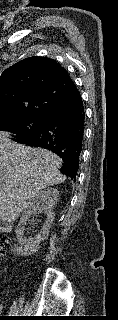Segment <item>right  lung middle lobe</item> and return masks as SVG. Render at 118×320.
Here are the masks:
<instances>
[{
  "label": "right lung middle lobe",
  "instance_id": "dd1d6c3e",
  "mask_svg": "<svg viewBox=\"0 0 118 320\" xmlns=\"http://www.w3.org/2000/svg\"><path fill=\"white\" fill-rule=\"evenodd\" d=\"M42 123V118H5L0 119V131L11 132L18 140L39 131Z\"/></svg>",
  "mask_w": 118,
  "mask_h": 320
}]
</instances>
